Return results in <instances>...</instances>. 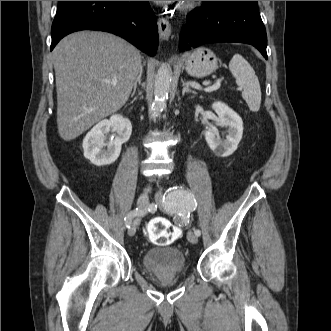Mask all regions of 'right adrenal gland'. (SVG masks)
<instances>
[{
    "instance_id": "right-adrenal-gland-1",
    "label": "right adrenal gland",
    "mask_w": 331,
    "mask_h": 331,
    "mask_svg": "<svg viewBox=\"0 0 331 331\" xmlns=\"http://www.w3.org/2000/svg\"><path fill=\"white\" fill-rule=\"evenodd\" d=\"M141 76H142V69L134 83V86H133V91H132V94H131V97H133L135 95V92H136V88H137V84H141Z\"/></svg>"
}]
</instances>
